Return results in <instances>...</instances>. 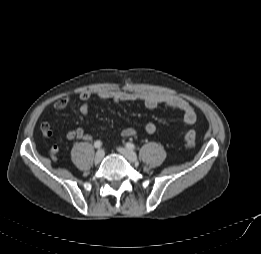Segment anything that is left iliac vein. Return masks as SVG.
Instances as JSON below:
<instances>
[{
	"label": "left iliac vein",
	"mask_w": 261,
	"mask_h": 254,
	"mask_svg": "<svg viewBox=\"0 0 261 254\" xmlns=\"http://www.w3.org/2000/svg\"><path fill=\"white\" fill-rule=\"evenodd\" d=\"M117 151L131 163H136L138 161L136 154L131 150H128L123 147H118Z\"/></svg>",
	"instance_id": "obj_1"
}]
</instances>
